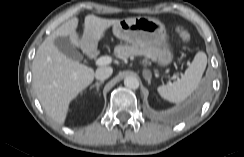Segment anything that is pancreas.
Segmentation results:
<instances>
[{
    "mask_svg": "<svg viewBox=\"0 0 244 157\" xmlns=\"http://www.w3.org/2000/svg\"><path fill=\"white\" fill-rule=\"evenodd\" d=\"M114 51L116 56L122 59L137 55L145 56L146 58H152L151 54L148 53L146 50L137 48L133 45H118L115 47Z\"/></svg>",
    "mask_w": 244,
    "mask_h": 157,
    "instance_id": "obj_1",
    "label": "pancreas"
}]
</instances>
